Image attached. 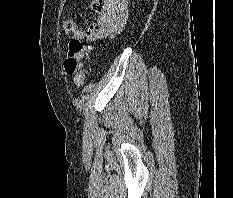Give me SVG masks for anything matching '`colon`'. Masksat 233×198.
Here are the masks:
<instances>
[{
  "label": "colon",
  "instance_id": "colon-1",
  "mask_svg": "<svg viewBox=\"0 0 233 198\" xmlns=\"http://www.w3.org/2000/svg\"><path fill=\"white\" fill-rule=\"evenodd\" d=\"M106 0H90V6L93 11L100 13L105 7ZM65 31L71 36L73 49H79L83 44L82 40L85 36L84 32L81 31L71 20H66L64 22ZM64 67L69 75L75 74V84L81 87L84 84L88 70H79V62L75 57L73 52H69L65 62Z\"/></svg>",
  "mask_w": 233,
  "mask_h": 198
}]
</instances>
